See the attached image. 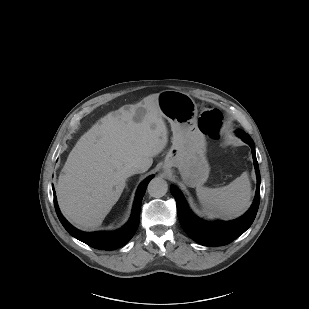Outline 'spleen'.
Masks as SVG:
<instances>
[{
	"mask_svg": "<svg viewBox=\"0 0 309 309\" xmlns=\"http://www.w3.org/2000/svg\"><path fill=\"white\" fill-rule=\"evenodd\" d=\"M196 194L207 215L231 219L242 215L249 208L251 184L247 173L244 172L224 187L198 186Z\"/></svg>",
	"mask_w": 309,
	"mask_h": 309,
	"instance_id": "1",
	"label": "spleen"
}]
</instances>
